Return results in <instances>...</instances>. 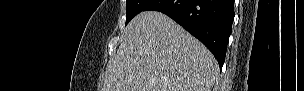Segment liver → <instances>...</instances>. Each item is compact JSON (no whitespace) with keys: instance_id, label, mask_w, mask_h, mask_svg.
Instances as JSON below:
<instances>
[{"instance_id":"1","label":"liver","mask_w":304,"mask_h":91,"mask_svg":"<svg viewBox=\"0 0 304 91\" xmlns=\"http://www.w3.org/2000/svg\"><path fill=\"white\" fill-rule=\"evenodd\" d=\"M105 71L103 91H211L213 54L165 14L144 11L125 29Z\"/></svg>"}]
</instances>
